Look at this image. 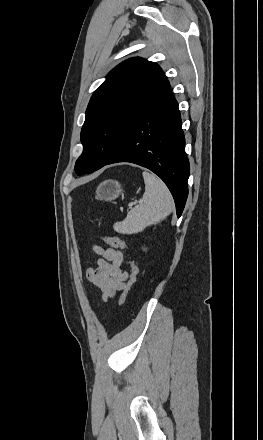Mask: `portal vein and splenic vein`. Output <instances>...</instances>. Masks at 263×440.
I'll return each instance as SVG.
<instances>
[{
	"label": "portal vein and splenic vein",
	"instance_id": "portal-vein-and-splenic-vein-1",
	"mask_svg": "<svg viewBox=\"0 0 263 440\" xmlns=\"http://www.w3.org/2000/svg\"><path fill=\"white\" fill-rule=\"evenodd\" d=\"M141 201H138L137 203H140ZM135 205V203H130L129 204V207H132V206H134Z\"/></svg>",
	"mask_w": 263,
	"mask_h": 440
}]
</instances>
